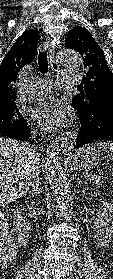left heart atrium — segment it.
I'll return each mask as SVG.
<instances>
[{
    "mask_svg": "<svg viewBox=\"0 0 113 279\" xmlns=\"http://www.w3.org/2000/svg\"><path fill=\"white\" fill-rule=\"evenodd\" d=\"M34 117L44 129L56 130L67 124L69 112L63 100L46 96L38 102L34 110Z\"/></svg>",
    "mask_w": 113,
    "mask_h": 279,
    "instance_id": "1",
    "label": "left heart atrium"
}]
</instances>
